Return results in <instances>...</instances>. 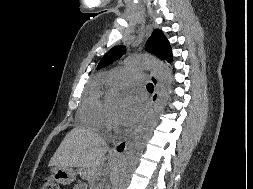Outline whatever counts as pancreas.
<instances>
[{"label": "pancreas", "instance_id": "pancreas-1", "mask_svg": "<svg viewBox=\"0 0 253 189\" xmlns=\"http://www.w3.org/2000/svg\"><path fill=\"white\" fill-rule=\"evenodd\" d=\"M80 175L83 179L92 181L96 176V172L92 168L82 167L80 169Z\"/></svg>", "mask_w": 253, "mask_h": 189}]
</instances>
